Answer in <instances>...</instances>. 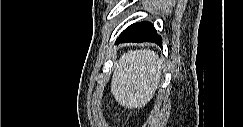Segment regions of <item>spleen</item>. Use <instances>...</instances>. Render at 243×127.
<instances>
[{
	"instance_id": "1",
	"label": "spleen",
	"mask_w": 243,
	"mask_h": 127,
	"mask_svg": "<svg viewBox=\"0 0 243 127\" xmlns=\"http://www.w3.org/2000/svg\"><path fill=\"white\" fill-rule=\"evenodd\" d=\"M162 61L151 50L124 53L115 63L111 93L127 108L142 107L153 97L161 78Z\"/></svg>"
}]
</instances>
